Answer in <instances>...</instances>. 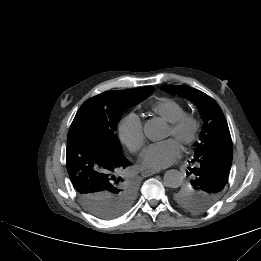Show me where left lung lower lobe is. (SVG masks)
I'll return each mask as SVG.
<instances>
[{
    "mask_svg": "<svg viewBox=\"0 0 261 261\" xmlns=\"http://www.w3.org/2000/svg\"><path fill=\"white\" fill-rule=\"evenodd\" d=\"M189 170H190V172H188V174H190L192 172L193 168H189ZM194 172H195V179L204 178V176L208 175L207 170H204L203 168L197 169Z\"/></svg>",
    "mask_w": 261,
    "mask_h": 261,
    "instance_id": "0a47b994",
    "label": "left lung lower lobe"
}]
</instances>
